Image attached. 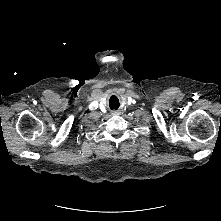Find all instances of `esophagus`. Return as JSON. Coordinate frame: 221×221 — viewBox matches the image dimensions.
I'll use <instances>...</instances> for the list:
<instances>
[{
    "mask_svg": "<svg viewBox=\"0 0 221 221\" xmlns=\"http://www.w3.org/2000/svg\"><path fill=\"white\" fill-rule=\"evenodd\" d=\"M119 113H120L119 110H113V111H112V114H119Z\"/></svg>",
    "mask_w": 221,
    "mask_h": 221,
    "instance_id": "34e87169",
    "label": "esophagus"
}]
</instances>
